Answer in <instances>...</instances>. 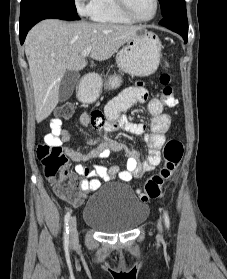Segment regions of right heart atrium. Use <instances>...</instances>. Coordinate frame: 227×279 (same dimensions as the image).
I'll use <instances>...</instances> for the list:
<instances>
[{
  "mask_svg": "<svg viewBox=\"0 0 227 279\" xmlns=\"http://www.w3.org/2000/svg\"><path fill=\"white\" fill-rule=\"evenodd\" d=\"M100 0H74L76 7L85 15H91L99 5Z\"/></svg>",
  "mask_w": 227,
  "mask_h": 279,
  "instance_id": "d8ad5b80",
  "label": "right heart atrium"
}]
</instances>
